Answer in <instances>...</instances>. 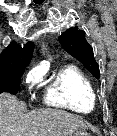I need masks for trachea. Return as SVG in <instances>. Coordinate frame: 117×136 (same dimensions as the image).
<instances>
[{"instance_id":"3493384b","label":"trachea","mask_w":117,"mask_h":136,"mask_svg":"<svg viewBox=\"0 0 117 136\" xmlns=\"http://www.w3.org/2000/svg\"><path fill=\"white\" fill-rule=\"evenodd\" d=\"M41 2H43V0H37V1H36V3H41Z\"/></svg>"}]
</instances>
